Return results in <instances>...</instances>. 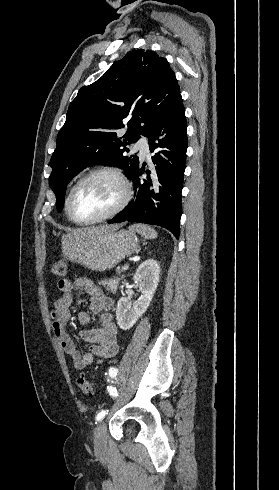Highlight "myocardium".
Returning a JSON list of instances; mask_svg holds the SVG:
<instances>
[{"instance_id":"myocardium-1","label":"myocardium","mask_w":279,"mask_h":490,"mask_svg":"<svg viewBox=\"0 0 279 490\" xmlns=\"http://www.w3.org/2000/svg\"><path fill=\"white\" fill-rule=\"evenodd\" d=\"M98 175H110L114 177L122 187V196L120 200L113 206V208L105 212L104 214L86 221L79 220L75 217L74 214V202H75L77 191L84 181ZM131 197H132V190H131L129 180L120 168L115 166H109V165L97 166L86 171L73 184L70 193V199H69V213L72 220L79 225H89V224L103 222L105 220H108L118 215L127 206Z\"/></svg>"}]
</instances>
